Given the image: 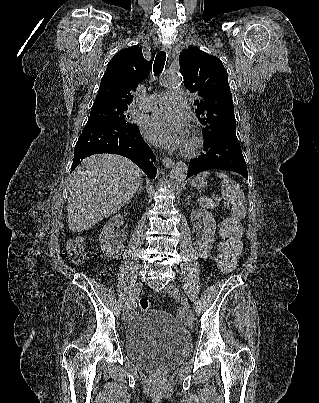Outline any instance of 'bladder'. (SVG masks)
I'll use <instances>...</instances> for the list:
<instances>
[{
  "label": "bladder",
  "instance_id": "obj_1",
  "mask_svg": "<svg viewBox=\"0 0 319 403\" xmlns=\"http://www.w3.org/2000/svg\"><path fill=\"white\" fill-rule=\"evenodd\" d=\"M127 357L151 371H165L185 361L191 352L190 336L177 319L160 310L136 315L125 333Z\"/></svg>",
  "mask_w": 319,
  "mask_h": 403
}]
</instances>
